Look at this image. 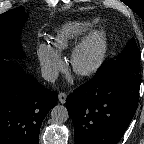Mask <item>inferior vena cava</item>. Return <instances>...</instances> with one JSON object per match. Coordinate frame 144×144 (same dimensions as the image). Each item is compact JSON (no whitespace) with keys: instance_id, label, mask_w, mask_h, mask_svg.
I'll use <instances>...</instances> for the list:
<instances>
[{"instance_id":"602c4592","label":"inferior vena cava","mask_w":144,"mask_h":144,"mask_svg":"<svg viewBox=\"0 0 144 144\" xmlns=\"http://www.w3.org/2000/svg\"><path fill=\"white\" fill-rule=\"evenodd\" d=\"M58 75L59 71L57 69L46 68L42 70V77L49 82H55Z\"/></svg>"}]
</instances>
